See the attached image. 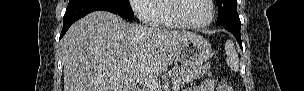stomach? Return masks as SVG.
Instances as JSON below:
<instances>
[{
  "label": "stomach",
  "mask_w": 304,
  "mask_h": 91,
  "mask_svg": "<svg viewBox=\"0 0 304 91\" xmlns=\"http://www.w3.org/2000/svg\"><path fill=\"white\" fill-rule=\"evenodd\" d=\"M212 48L201 36L190 38L176 51L175 58L186 67L199 68L212 57Z\"/></svg>",
  "instance_id": "stomach-1"
}]
</instances>
